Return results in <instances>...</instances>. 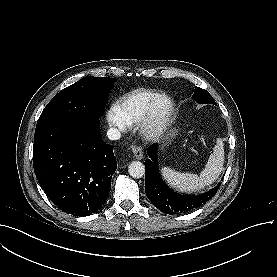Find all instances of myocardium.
I'll list each match as a JSON object with an SVG mask.
<instances>
[{
	"mask_svg": "<svg viewBox=\"0 0 277 277\" xmlns=\"http://www.w3.org/2000/svg\"><path fill=\"white\" fill-rule=\"evenodd\" d=\"M161 102H165L166 106L162 112H159L157 108ZM174 109L172 99L165 94L156 95L140 123L139 131L141 135L149 141L157 139L169 125Z\"/></svg>",
	"mask_w": 277,
	"mask_h": 277,
	"instance_id": "myocardium-1",
	"label": "myocardium"
}]
</instances>
